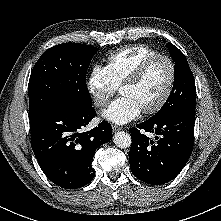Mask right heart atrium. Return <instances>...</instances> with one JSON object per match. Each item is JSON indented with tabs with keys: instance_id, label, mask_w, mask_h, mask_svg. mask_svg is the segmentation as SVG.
Returning <instances> with one entry per match:
<instances>
[{
	"instance_id": "right-heart-atrium-1",
	"label": "right heart atrium",
	"mask_w": 221,
	"mask_h": 221,
	"mask_svg": "<svg viewBox=\"0 0 221 221\" xmlns=\"http://www.w3.org/2000/svg\"><path fill=\"white\" fill-rule=\"evenodd\" d=\"M86 85L96 107H104L117 89L107 67L99 64L91 68Z\"/></svg>"
}]
</instances>
